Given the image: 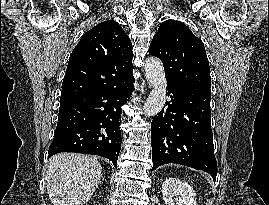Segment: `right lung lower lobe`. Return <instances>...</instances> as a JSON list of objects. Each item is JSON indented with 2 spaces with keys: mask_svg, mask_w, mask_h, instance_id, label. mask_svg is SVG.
Returning <instances> with one entry per match:
<instances>
[{
  "mask_svg": "<svg viewBox=\"0 0 269 205\" xmlns=\"http://www.w3.org/2000/svg\"><path fill=\"white\" fill-rule=\"evenodd\" d=\"M133 82L130 72L116 88L61 101L49 157L60 152L93 154L117 167L121 106L129 100Z\"/></svg>",
  "mask_w": 269,
  "mask_h": 205,
  "instance_id": "1",
  "label": "right lung lower lobe"
}]
</instances>
